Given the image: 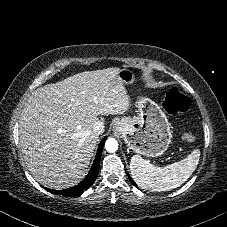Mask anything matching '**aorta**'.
Segmentation results:
<instances>
[{"label":"aorta","instance_id":"762f6f07","mask_svg":"<svg viewBox=\"0 0 227 227\" xmlns=\"http://www.w3.org/2000/svg\"><path fill=\"white\" fill-rule=\"evenodd\" d=\"M105 148L108 152H115L118 149V142L116 139L114 138H109L106 142H105Z\"/></svg>","mask_w":227,"mask_h":227}]
</instances>
